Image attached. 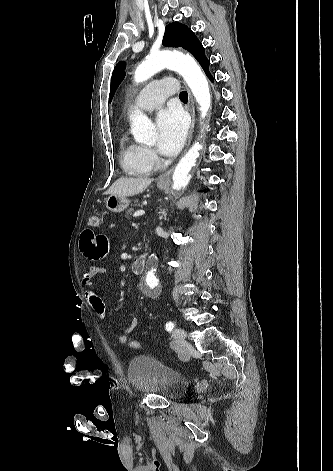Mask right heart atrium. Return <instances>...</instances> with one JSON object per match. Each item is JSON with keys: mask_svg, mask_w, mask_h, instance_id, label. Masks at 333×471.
<instances>
[{"mask_svg": "<svg viewBox=\"0 0 333 471\" xmlns=\"http://www.w3.org/2000/svg\"><path fill=\"white\" fill-rule=\"evenodd\" d=\"M145 155H146L147 160H148L152 165L156 164V162H157V156H156V154H155L151 149L145 148Z\"/></svg>", "mask_w": 333, "mask_h": 471, "instance_id": "right-heart-atrium-1", "label": "right heart atrium"}]
</instances>
